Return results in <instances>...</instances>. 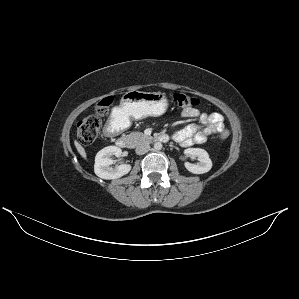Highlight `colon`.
I'll list each match as a JSON object with an SVG mask.
<instances>
[{
	"instance_id": "5ec220e1",
	"label": "colon",
	"mask_w": 299,
	"mask_h": 299,
	"mask_svg": "<svg viewBox=\"0 0 299 299\" xmlns=\"http://www.w3.org/2000/svg\"><path fill=\"white\" fill-rule=\"evenodd\" d=\"M173 100L175 104L180 108H192L198 105L199 101L185 93H175L173 96ZM113 102V99L111 97H105L94 105V111L95 114L89 115L85 118H83L77 126V134L80 141L84 144H91L95 141L97 138L100 126H101V120L100 116H105L108 114L110 106ZM229 136V131L227 129H224L220 133L221 139H227Z\"/></svg>"
}]
</instances>
